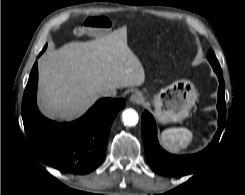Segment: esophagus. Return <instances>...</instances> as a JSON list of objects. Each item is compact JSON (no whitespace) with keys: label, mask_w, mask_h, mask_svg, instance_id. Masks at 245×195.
<instances>
[{"label":"esophagus","mask_w":245,"mask_h":195,"mask_svg":"<svg viewBox=\"0 0 245 195\" xmlns=\"http://www.w3.org/2000/svg\"><path fill=\"white\" fill-rule=\"evenodd\" d=\"M143 100H144L143 95L140 92H134L130 96V101L134 104H140L143 102Z\"/></svg>","instance_id":"34e87169"}]
</instances>
